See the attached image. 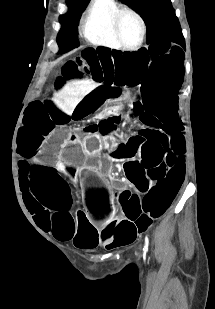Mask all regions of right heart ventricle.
Masks as SVG:
<instances>
[{
  "instance_id": "1",
  "label": "right heart ventricle",
  "mask_w": 215,
  "mask_h": 309,
  "mask_svg": "<svg viewBox=\"0 0 215 309\" xmlns=\"http://www.w3.org/2000/svg\"><path fill=\"white\" fill-rule=\"evenodd\" d=\"M115 21L107 9H96V14H91L90 19L84 20L83 32L89 43L106 48H118L115 45Z\"/></svg>"
}]
</instances>
